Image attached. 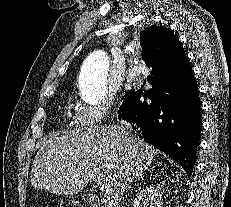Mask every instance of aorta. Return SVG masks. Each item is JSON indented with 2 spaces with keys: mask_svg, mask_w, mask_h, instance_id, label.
I'll list each match as a JSON object with an SVG mask.
<instances>
[{
  "mask_svg": "<svg viewBox=\"0 0 231 207\" xmlns=\"http://www.w3.org/2000/svg\"><path fill=\"white\" fill-rule=\"evenodd\" d=\"M109 60L103 50L90 53L84 60L79 76L81 99L90 105H97L107 95Z\"/></svg>",
  "mask_w": 231,
  "mask_h": 207,
  "instance_id": "762f6f07",
  "label": "aorta"
}]
</instances>
